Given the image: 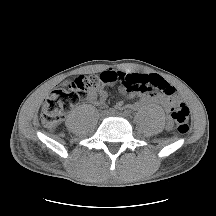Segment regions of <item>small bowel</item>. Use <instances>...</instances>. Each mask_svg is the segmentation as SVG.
I'll return each mask as SVG.
<instances>
[{
	"label": "small bowel",
	"instance_id": "1",
	"mask_svg": "<svg viewBox=\"0 0 216 216\" xmlns=\"http://www.w3.org/2000/svg\"><path fill=\"white\" fill-rule=\"evenodd\" d=\"M100 79L107 85L116 83L119 91L129 98H139V102L132 105L133 108H138L143 104L157 103L167 109L172 103L168 96L154 90L158 82L162 81L168 83L158 75L106 71L102 73ZM107 98V90L105 88H101L97 93H94L91 97H89V102L102 105L106 102ZM116 106L121 109L124 107V103L122 101H118Z\"/></svg>",
	"mask_w": 216,
	"mask_h": 216
}]
</instances>
